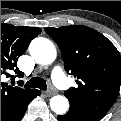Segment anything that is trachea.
Instances as JSON below:
<instances>
[{
    "mask_svg": "<svg viewBox=\"0 0 121 121\" xmlns=\"http://www.w3.org/2000/svg\"><path fill=\"white\" fill-rule=\"evenodd\" d=\"M25 88H39L41 90H46L47 85L44 79L41 77H35L26 82Z\"/></svg>",
    "mask_w": 121,
    "mask_h": 121,
    "instance_id": "1",
    "label": "trachea"
}]
</instances>
